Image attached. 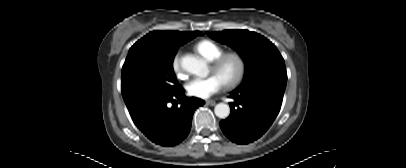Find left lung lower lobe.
Segmentation results:
<instances>
[{
	"mask_svg": "<svg viewBox=\"0 0 406 168\" xmlns=\"http://www.w3.org/2000/svg\"><path fill=\"white\" fill-rule=\"evenodd\" d=\"M283 95V90L273 88L233 91L230 98L235 102L230 104V116L220 122L221 130L237 144H248L257 140L278 115Z\"/></svg>",
	"mask_w": 406,
	"mask_h": 168,
	"instance_id": "0a47b994",
	"label": "left lung lower lobe"
}]
</instances>
